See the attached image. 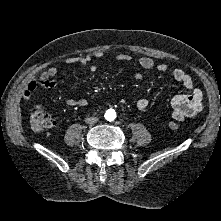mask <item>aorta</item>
<instances>
[{"label": "aorta", "instance_id": "obj_1", "mask_svg": "<svg viewBox=\"0 0 221 221\" xmlns=\"http://www.w3.org/2000/svg\"><path fill=\"white\" fill-rule=\"evenodd\" d=\"M105 118L108 121H113L116 118V112L114 109H108L105 113Z\"/></svg>", "mask_w": 221, "mask_h": 221}]
</instances>
